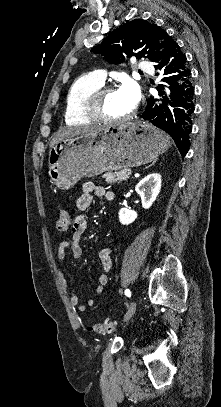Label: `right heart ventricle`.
<instances>
[{
	"label": "right heart ventricle",
	"mask_w": 221,
	"mask_h": 407,
	"mask_svg": "<svg viewBox=\"0 0 221 407\" xmlns=\"http://www.w3.org/2000/svg\"><path fill=\"white\" fill-rule=\"evenodd\" d=\"M102 85L90 75H82L73 81L65 99L64 120L67 124L82 125L93 121L85 109L92 95Z\"/></svg>",
	"instance_id": "right-heart-ventricle-1"
}]
</instances>
